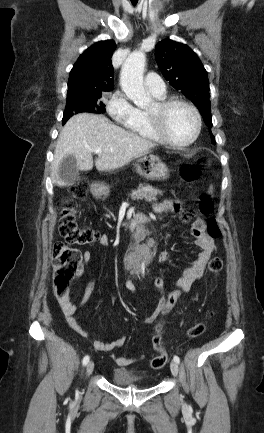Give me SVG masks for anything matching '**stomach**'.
<instances>
[{"mask_svg":"<svg viewBox=\"0 0 264 433\" xmlns=\"http://www.w3.org/2000/svg\"><path fill=\"white\" fill-rule=\"evenodd\" d=\"M137 173L147 180H166L169 177L167 165L156 155L145 154L135 164ZM97 191L101 194L109 192L108 187L97 184Z\"/></svg>","mask_w":264,"mask_h":433,"instance_id":"1","label":"stomach"}]
</instances>
